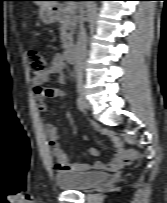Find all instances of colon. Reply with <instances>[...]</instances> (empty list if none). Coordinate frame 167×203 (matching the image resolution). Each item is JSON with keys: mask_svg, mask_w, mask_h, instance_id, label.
Listing matches in <instances>:
<instances>
[{"mask_svg": "<svg viewBox=\"0 0 167 203\" xmlns=\"http://www.w3.org/2000/svg\"><path fill=\"white\" fill-rule=\"evenodd\" d=\"M28 61L30 70L34 74H41L49 67L48 58L38 50L31 48L28 50ZM138 158V152L135 150H124L123 160L128 164Z\"/></svg>", "mask_w": 167, "mask_h": 203, "instance_id": "colon-1", "label": "colon"}]
</instances>
